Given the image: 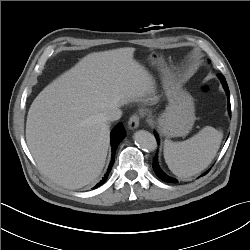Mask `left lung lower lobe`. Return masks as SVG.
Here are the masks:
<instances>
[{"label": "left lung lower lobe", "mask_w": 250, "mask_h": 250, "mask_svg": "<svg viewBox=\"0 0 250 250\" xmlns=\"http://www.w3.org/2000/svg\"><path fill=\"white\" fill-rule=\"evenodd\" d=\"M218 77H219V79H220L221 83L223 84V87H224V89L226 91V94H227V97H228V112L231 115L230 92H229V88H228L227 82L225 80V77L222 74H218ZM155 137H156L157 141H159L157 133H155ZM153 169H154L156 175L160 179H162L163 181L169 182V183H177L178 182L176 179L171 178V177L167 176L166 174H164L162 172V170L160 169V167L158 165L157 154H156V156L153 159ZM206 173H208V171Z\"/></svg>", "instance_id": "left-lung-lower-lobe-1"}]
</instances>
